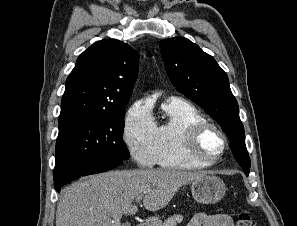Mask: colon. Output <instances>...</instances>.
Masks as SVG:
<instances>
[{
    "instance_id": "obj_1",
    "label": "colon",
    "mask_w": 297,
    "mask_h": 226,
    "mask_svg": "<svg viewBox=\"0 0 297 226\" xmlns=\"http://www.w3.org/2000/svg\"><path fill=\"white\" fill-rule=\"evenodd\" d=\"M237 226H257V223L251 215L240 213L237 219Z\"/></svg>"
}]
</instances>
